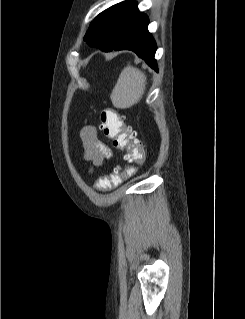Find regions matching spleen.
Segmentation results:
<instances>
[{
  "label": "spleen",
  "mask_w": 245,
  "mask_h": 319,
  "mask_svg": "<svg viewBox=\"0 0 245 319\" xmlns=\"http://www.w3.org/2000/svg\"><path fill=\"white\" fill-rule=\"evenodd\" d=\"M146 75L139 69L128 65L121 72L111 93V101L117 108L126 109L137 104L146 89Z\"/></svg>",
  "instance_id": "obj_1"
}]
</instances>
